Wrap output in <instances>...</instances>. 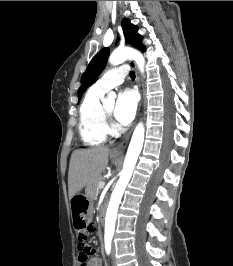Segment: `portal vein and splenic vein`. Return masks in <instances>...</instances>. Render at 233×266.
I'll return each mask as SVG.
<instances>
[{
    "mask_svg": "<svg viewBox=\"0 0 233 266\" xmlns=\"http://www.w3.org/2000/svg\"><path fill=\"white\" fill-rule=\"evenodd\" d=\"M104 186H105V182H104V181H100V182L98 183V187H99L100 189L104 188Z\"/></svg>",
    "mask_w": 233,
    "mask_h": 266,
    "instance_id": "18ae733b",
    "label": "portal vein and splenic vein"
}]
</instances>
